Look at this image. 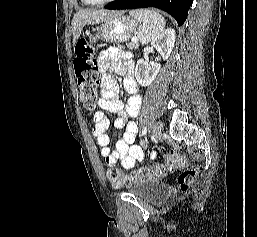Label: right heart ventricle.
<instances>
[{
    "label": "right heart ventricle",
    "instance_id": "right-heart-ventricle-1",
    "mask_svg": "<svg viewBox=\"0 0 257 237\" xmlns=\"http://www.w3.org/2000/svg\"><path fill=\"white\" fill-rule=\"evenodd\" d=\"M81 2L83 3V4H86L85 2H84V0H81ZM87 5V4H86Z\"/></svg>",
    "mask_w": 257,
    "mask_h": 237
}]
</instances>
